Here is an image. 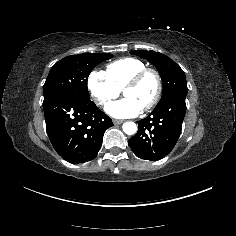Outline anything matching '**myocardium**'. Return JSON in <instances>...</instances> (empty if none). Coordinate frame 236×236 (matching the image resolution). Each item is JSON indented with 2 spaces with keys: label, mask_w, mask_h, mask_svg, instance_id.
I'll use <instances>...</instances> for the list:
<instances>
[{
  "label": "myocardium",
  "mask_w": 236,
  "mask_h": 236,
  "mask_svg": "<svg viewBox=\"0 0 236 236\" xmlns=\"http://www.w3.org/2000/svg\"><path fill=\"white\" fill-rule=\"evenodd\" d=\"M151 75L154 78L155 81V92L152 97V99L149 101V103L143 108V111H148L151 108H153L159 101L161 94H162V79L158 71H156L153 68H143L136 72L134 75H132L124 84L122 88V93L124 90L133 87L137 85L145 76Z\"/></svg>",
  "instance_id": "myocardium-1"
}]
</instances>
